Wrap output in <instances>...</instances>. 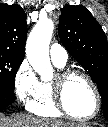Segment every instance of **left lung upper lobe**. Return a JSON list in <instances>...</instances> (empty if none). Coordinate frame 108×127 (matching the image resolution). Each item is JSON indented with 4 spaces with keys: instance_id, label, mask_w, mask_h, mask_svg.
I'll list each match as a JSON object with an SVG mask.
<instances>
[{
    "instance_id": "obj_1",
    "label": "left lung upper lobe",
    "mask_w": 108,
    "mask_h": 127,
    "mask_svg": "<svg viewBox=\"0 0 108 127\" xmlns=\"http://www.w3.org/2000/svg\"><path fill=\"white\" fill-rule=\"evenodd\" d=\"M58 32L64 47L97 84L108 120V43L104 31L87 8L66 5Z\"/></svg>"
}]
</instances>
